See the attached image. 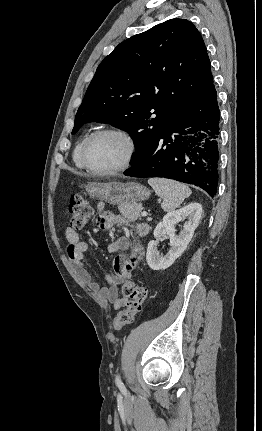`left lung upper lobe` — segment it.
<instances>
[{
    "label": "left lung upper lobe",
    "mask_w": 262,
    "mask_h": 431,
    "mask_svg": "<svg viewBox=\"0 0 262 431\" xmlns=\"http://www.w3.org/2000/svg\"><path fill=\"white\" fill-rule=\"evenodd\" d=\"M212 84L199 31L188 20L170 19L123 41L103 59L77 111L72 134L91 121L121 128L134 140L133 164Z\"/></svg>",
    "instance_id": "obj_1"
}]
</instances>
